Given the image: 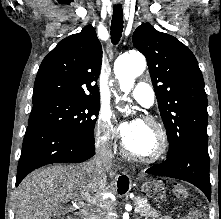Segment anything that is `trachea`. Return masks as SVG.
I'll return each instance as SVG.
<instances>
[{
	"mask_svg": "<svg viewBox=\"0 0 221 219\" xmlns=\"http://www.w3.org/2000/svg\"><path fill=\"white\" fill-rule=\"evenodd\" d=\"M110 29L111 41L114 45H116L120 41L123 31V9L120 4L113 7Z\"/></svg>",
	"mask_w": 221,
	"mask_h": 219,
	"instance_id": "3493384b",
	"label": "trachea"
}]
</instances>
